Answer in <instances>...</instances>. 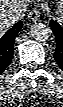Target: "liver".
Here are the masks:
<instances>
[{
  "label": "liver",
  "mask_w": 63,
  "mask_h": 107,
  "mask_svg": "<svg viewBox=\"0 0 63 107\" xmlns=\"http://www.w3.org/2000/svg\"><path fill=\"white\" fill-rule=\"evenodd\" d=\"M26 7V0H0V35L4 34L12 25L9 21V13L20 8L23 11Z\"/></svg>",
  "instance_id": "liver-1"
}]
</instances>
